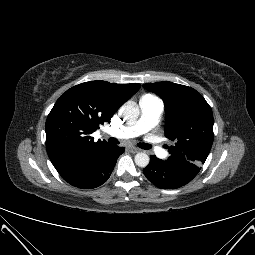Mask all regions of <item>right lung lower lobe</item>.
Returning a JSON list of instances; mask_svg holds the SVG:
<instances>
[{
    "label": "right lung lower lobe",
    "mask_w": 255,
    "mask_h": 255,
    "mask_svg": "<svg viewBox=\"0 0 255 255\" xmlns=\"http://www.w3.org/2000/svg\"><path fill=\"white\" fill-rule=\"evenodd\" d=\"M123 152V147L112 144L59 173L72 186L82 189L95 188L107 181Z\"/></svg>",
    "instance_id": "1"
}]
</instances>
